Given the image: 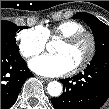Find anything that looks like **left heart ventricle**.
Returning a JSON list of instances; mask_svg holds the SVG:
<instances>
[{"instance_id": "1", "label": "left heart ventricle", "mask_w": 109, "mask_h": 109, "mask_svg": "<svg viewBox=\"0 0 109 109\" xmlns=\"http://www.w3.org/2000/svg\"><path fill=\"white\" fill-rule=\"evenodd\" d=\"M56 52L66 56L73 67H75L79 65L88 55L89 40L86 37H83L72 45H67L63 42H60L57 46Z\"/></svg>"}]
</instances>
